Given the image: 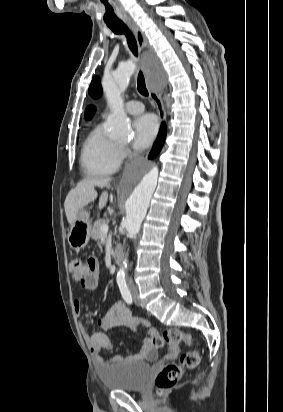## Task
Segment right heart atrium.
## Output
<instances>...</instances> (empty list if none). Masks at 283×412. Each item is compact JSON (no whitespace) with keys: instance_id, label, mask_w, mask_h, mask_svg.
I'll return each mask as SVG.
<instances>
[{"instance_id":"1","label":"right heart atrium","mask_w":283,"mask_h":412,"mask_svg":"<svg viewBox=\"0 0 283 412\" xmlns=\"http://www.w3.org/2000/svg\"><path fill=\"white\" fill-rule=\"evenodd\" d=\"M122 154L123 156H127L129 154V150L127 148H122Z\"/></svg>"}]
</instances>
